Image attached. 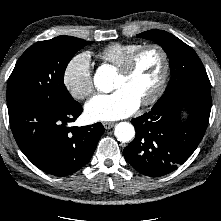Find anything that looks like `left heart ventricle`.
I'll return each mask as SVG.
<instances>
[{"label": "left heart ventricle", "mask_w": 221, "mask_h": 221, "mask_svg": "<svg viewBox=\"0 0 221 221\" xmlns=\"http://www.w3.org/2000/svg\"><path fill=\"white\" fill-rule=\"evenodd\" d=\"M162 71L160 54L153 49L146 50L138 58L129 75L117 73L113 88L125 89L139 102L147 98L155 89Z\"/></svg>", "instance_id": "1"}]
</instances>
